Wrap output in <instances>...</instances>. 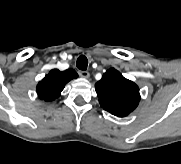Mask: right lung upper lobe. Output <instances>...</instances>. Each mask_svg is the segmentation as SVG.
I'll return each instance as SVG.
<instances>
[{
    "mask_svg": "<svg viewBox=\"0 0 181 164\" xmlns=\"http://www.w3.org/2000/svg\"><path fill=\"white\" fill-rule=\"evenodd\" d=\"M78 77V74L73 69L59 71L52 69L42 81L37 85V93L40 99L44 101H52L60 96L65 85L72 79Z\"/></svg>",
    "mask_w": 181,
    "mask_h": 164,
    "instance_id": "obj_1",
    "label": "right lung upper lobe"
}]
</instances>
